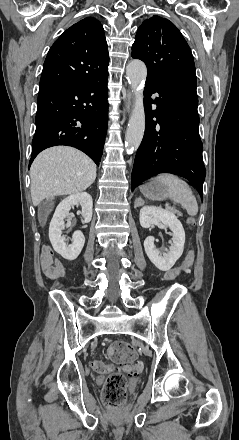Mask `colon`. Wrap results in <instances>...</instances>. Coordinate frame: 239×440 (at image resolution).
<instances>
[{"instance_id":"5ec220e1","label":"colon","mask_w":239,"mask_h":440,"mask_svg":"<svg viewBox=\"0 0 239 440\" xmlns=\"http://www.w3.org/2000/svg\"><path fill=\"white\" fill-rule=\"evenodd\" d=\"M194 262V251L189 250L186 253L181 267L173 268L165 275V279L170 281L185 272ZM111 360L120 366L119 369L113 368L103 362H96L94 368L101 373H109L103 386V398L109 409H119L126 399V388L124 385V374L142 371V363L136 360L134 348L126 341H116L110 348Z\"/></svg>"}]
</instances>
